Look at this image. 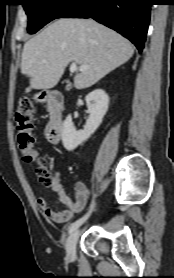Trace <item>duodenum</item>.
Wrapping results in <instances>:
<instances>
[{
    "label": "duodenum",
    "mask_w": 174,
    "mask_h": 278,
    "mask_svg": "<svg viewBox=\"0 0 174 278\" xmlns=\"http://www.w3.org/2000/svg\"><path fill=\"white\" fill-rule=\"evenodd\" d=\"M40 102H45L50 108V120L46 127V136L51 142H58L63 132L62 106L64 97L55 90L42 91L38 95Z\"/></svg>",
    "instance_id": "410a0bca"
}]
</instances>
